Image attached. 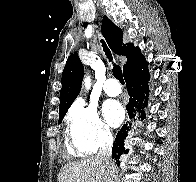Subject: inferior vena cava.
<instances>
[{"label": "inferior vena cava", "instance_id": "obj_1", "mask_svg": "<svg viewBox=\"0 0 196 182\" xmlns=\"http://www.w3.org/2000/svg\"><path fill=\"white\" fill-rule=\"evenodd\" d=\"M112 145H113V136L109 131H105L101 134V139H100V148L99 152L95 156L96 159L102 160L107 168L108 171V181H111V174H110V167L111 164L109 162V159L112 154Z\"/></svg>", "mask_w": 196, "mask_h": 182}]
</instances>
